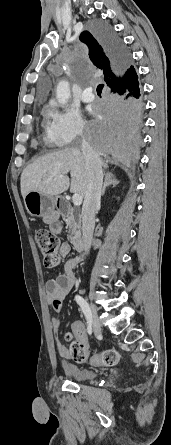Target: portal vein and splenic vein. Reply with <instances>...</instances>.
Returning a JSON list of instances; mask_svg holds the SVG:
<instances>
[{
  "mask_svg": "<svg viewBox=\"0 0 171 445\" xmlns=\"http://www.w3.org/2000/svg\"><path fill=\"white\" fill-rule=\"evenodd\" d=\"M59 177L62 178L63 175H59ZM72 200H73V204L75 206H79V205L82 204L83 197L80 194H78V193H74L73 197H72Z\"/></svg>",
  "mask_w": 171,
  "mask_h": 445,
  "instance_id": "18ae733b",
  "label": "portal vein and splenic vein"
}]
</instances>
